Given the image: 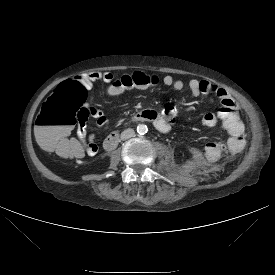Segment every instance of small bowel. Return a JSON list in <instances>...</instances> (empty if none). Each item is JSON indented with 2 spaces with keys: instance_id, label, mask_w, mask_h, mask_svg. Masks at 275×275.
I'll use <instances>...</instances> for the list:
<instances>
[{
  "instance_id": "small-bowel-1",
  "label": "small bowel",
  "mask_w": 275,
  "mask_h": 275,
  "mask_svg": "<svg viewBox=\"0 0 275 275\" xmlns=\"http://www.w3.org/2000/svg\"><path fill=\"white\" fill-rule=\"evenodd\" d=\"M76 80L80 81L86 88H90L94 82L100 81L107 83L113 79L110 73H93L78 75L75 77ZM163 84L176 90L180 91L184 88L185 84L183 81L175 79L170 75L163 77ZM188 87L194 96L199 95H214L221 103L231 101L232 104L236 105L233 98L222 88L217 87L208 81H199L192 79L188 83ZM91 116L96 120L99 127H106L107 121L102 111L96 107H90ZM146 119L155 125V127L163 133H167L171 130L177 117V109L174 106H167L163 110L156 105L150 106L145 113ZM87 123V122H86ZM86 123L79 124L77 127V138L82 148V153L89 156H94L98 152V145L96 143L95 134H87ZM202 123L207 127H213L219 124V119L216 113L207 112L202 116ZM229 135V141L224 144L220 139H211L207 145L203 148V157L210 162L216 161L222 158L226 153L233 155L240 151L245 145L244 139V123L241 120L240 125L233 130H227Z\"/></svg>"
}]
</instances>
